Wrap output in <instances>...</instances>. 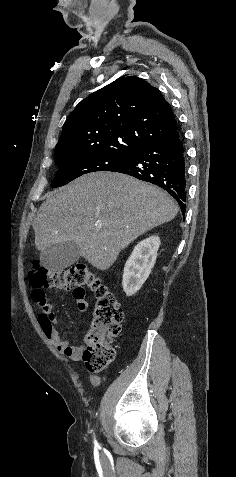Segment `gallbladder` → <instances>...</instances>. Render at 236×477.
Returning a JSON list of instances; mask_svg holds the SVG:
<instances>
[{
    "mask_svg": "<svg viewBox=\"0 0 236 477\" xmlns=\"http://www.w3.org/2000/svg\"><path fill=\"white\" fill-rule=\"evenodd\" d=\"M80 258V249L75 242H64L46 248L40 254L43 266L51 271H61Z\"/></svg>",
    "mask_w": 236,
    "mask_h": 477,
    "instance_id": "obj_1",
    "label": "gallbladder"
}]
</instances>
